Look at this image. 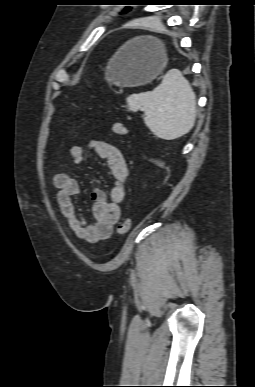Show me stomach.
Masks as SVG:
<instances>
[{
	"label": "stomach",
	"instance_id": "stomach-1",
	"mask_svg": "<svg viewBox=\"0 0 255 387\" xmlns=\"http://www.w3.org/2000/svg\"><path fill=\"white\" fill-rule=\"evenodd\" d=\"M167 64L163 44L154 38H137L123 45L111 59L105 79L122 87L143 85L161 74Z\"/></svg>",
	"mask_w": 255,
	"mask_h": 387
}]
</instances>
